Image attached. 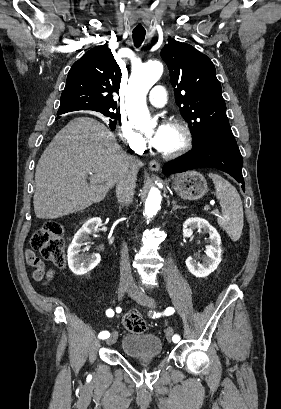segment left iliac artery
Returning a JSON list of instances; mask_svg holds the SVG:
<instances>
[{"instance_id":"1","label":"left iliac artery","mask_w":281,"mask_h":409,"mask_svg":"<svg viewBox=\"0 0 281 409\" xmlns=\"http://www.w3.org/2000/svg\"><path fill=\"white\" fill-rule=\"evenodd\" d=\"M173 313H174V308H172V307H168V308L165 310V312H164L165 315H171V314H173ZM156 315H157V314L155 313L154 316H156ZM172 340H173V342L177 343V342L180 340L179 335H176V334H175V335L173 336Z\"/></svg>"}]
</instances>
